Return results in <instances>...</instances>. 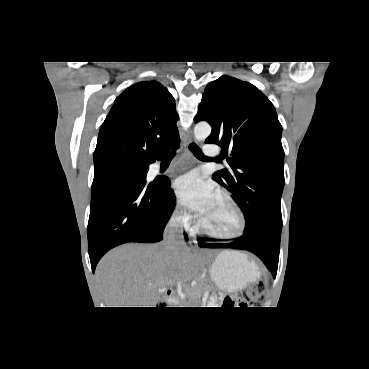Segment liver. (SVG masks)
<instances>
[{"label": "liver", "mask_w": 369, "mask_h": 369, "mask_svg": "<svg viewBox=\"0 0 369 369\" xmlns=\"http://www.w3.org/2000/svg\"><path fill=\"white\" fill-rule=\"evenodd\" d=\"M202 256L186 246L167 252L163 243L125 244L100 260L95 275L107 307H156L160 289L197 276Z\"/></svg>", "instance_id": "obj_1"}]
</instances>
